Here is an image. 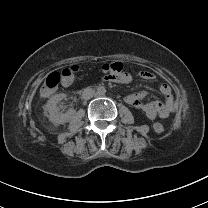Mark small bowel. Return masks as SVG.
I'll use <instances>...</instances> for the list:
<instances>
[{
  "instance_id": "c3829d8e",
  "label": "small bowel",
  "mask_w": 208,
  "mask_h": 208,
  "mask_svg": "<svg viewBox=\"0 0 208 208\" xmlns=\"http://www.w3.org/2000/svg\"><path fill=\"white\" fill-rule=\"evenodd\" d=\"M139 77L145 80H153L155 78L154 74L149 71H141ZM120 75L115 76H101V81H116L120 80ZM132 80L130 74H125L120 82L129 83ZM161 94L164 96V100H156L151 102H143V99L149 94L148 91H140L138 93L130 94L125 97L127 104L133 106L134 108L140 110L149 119H155L157 117L167 118L175 109L174 97L172 90L168 84H161L159 87Z\"/></svg>"
}]
</instances>
